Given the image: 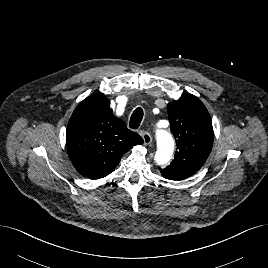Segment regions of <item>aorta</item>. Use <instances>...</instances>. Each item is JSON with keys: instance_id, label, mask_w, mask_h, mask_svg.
<instances>
[{"instance_id": "obj_1", "label": "aorta", "mask_w": 268, "mask_h": 268, "mask_svg": "<svg viewBox=\"0 0 268 268\" xmlns=\"http://www.w3.org/2000/svg\"><path fill=\"white\" fill-rule=\"evenodd\" d=\"M158 150L155 155V162L158 165L167 164L173 154L174 142L171 135L165 130H158L156 134Z\"/></svg>"}]
</instances>
